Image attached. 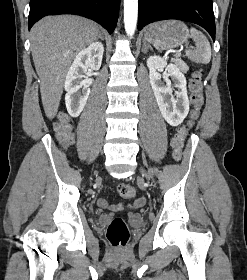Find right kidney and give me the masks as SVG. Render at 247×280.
<instances>
[{"mask_svg":"<svg viewBox=\"0 0 247 280\" xmlns=\"http://www.w3.org/2000/svg\"><path fill=\"white\" fill-rule=\"evenodd\" d=\"M104 47L95 42L82 49L75 57L65 79V103L70 116L78 117L83 111L90 94V88L84 73L89 68L99 70L102 63Z\"/></svg>","mask_w":247,"mask_h":280,"instance_id":"right-kidney-1","label":"right kidney"}]
</instances>
